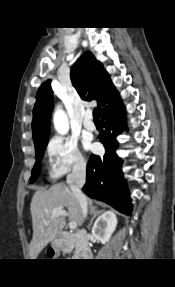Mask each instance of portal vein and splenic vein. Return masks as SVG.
Instances as JSON below:
<instances>
[{"mask_svg": "<svg viewBox=\"0 0 175 287\" xmlns=\"http://www.w3.org/2000/svg\"><path fill=\"white\" fill-rule=\"evenodd\" d=\"M51 215H52V217L67 216V212L65 210L54 209L51 212ZM69 228L72 229V230L76 229L77 228V223L76 222H69Z\"/></svg>", "mask_w": 175, "mask_h": 287, "instance_id": "1", "label": "portal vein and splenic vein"}]
</instances>
